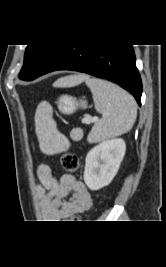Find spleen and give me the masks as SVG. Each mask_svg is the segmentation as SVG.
Instances as JSON below:
<instances>
[{"instance_id": "3e777b00", "label": "spleen", "mask_w": 166, "mask_h": 267, "mask_svg": "<svg viewBox=\"0 0 166 267\" xmlns=\"http://www.w3.org/2000/svg\"><path fill=\"white\" fill-rule=\"evenodd\" d=\"M95 103L103 115L92 127L87 140L97 143L128 132L136 120L137 108L134 98L117 85L97 78L86 79ZM40 148L45 153L62 152L69 148L67 138L61 134L49 114H40L36 123Z\"/></svg>"}]
</instances>
